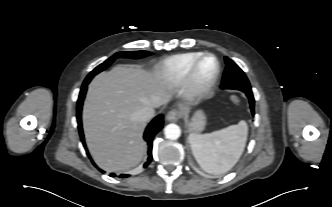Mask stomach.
Masks as SVG:
<instances>
[{
	"label": "stomach",
	"instance_id": "0dacf381",
	"mask_svg": "<svg viewBox=\"0 0 332 207\" xmlns=\"http://www.w3.org/2000/svg\"><path fill=\"white\" fill-rule=\"evenodd\" d=\"M206 124V117L203 111L198 110L194 113L192 118L187 121L189 132L199 133L201 132Z\"/></svg>",
	"mask_w": 332,
	"mask_h": 207
}]
</instances>
